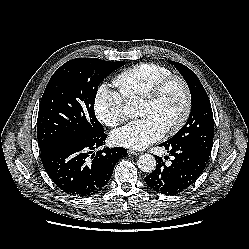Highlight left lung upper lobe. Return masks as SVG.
<instances>
[{"instance_id": "5c2ea615", "label": "left lung upper lobe", "mask_w": 249, "mask_h": 249, "mask_svg": "<svg viewBox=\"0 0 249 249\" xmlns=\"http://www.w3.org/2000/svg\"><path fill=\"white\" fill-rule=\"evenodd\" d=\"M171 63L189 86L192 109L184 127L166 142L193 146L210 155L213 146L214 122L208 95L192 70L179 62L171 61Z\"/></svg>"}]
</instances>
